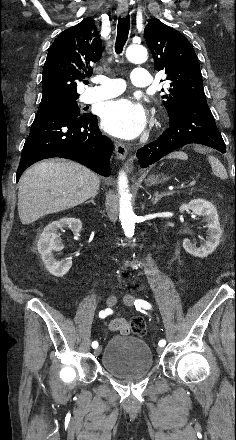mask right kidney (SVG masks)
Returning <instances> with one entry per match:
<instances>
[{
    "mask_svg": "<svg viewBox=\"0 0 236 440\" xmlns=\"http://www.w3.org/2000/svg\"><path fill=\"white\" fill-rule=\"evenodd\" d=\"M62 228H69L76 235H79L82 229V222L79 219L67 217L54 221L44 228L37 244L46 269L56 277L65 275L72 266L71 259L57 261L53 254L54 251H61L63 249L60 234L57 233V230Z\"/></svg>",
    "mask_w": 236,
    "mask_h": 440,
    "instance_id": "right-kidney-1",
    "label": "right kidney"
}]
</instances>
